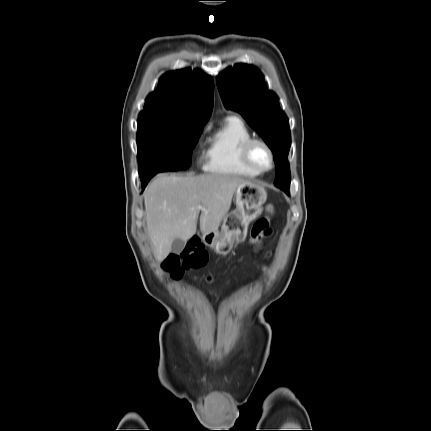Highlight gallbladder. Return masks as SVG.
<instances>
[{"label":"gallbladder","instance_id":"1","mask_svg":"<svg viewBox=\"0 0 431 431\" xmlns=\"http://www.w3.org/2000/svg\"><path fill=\"white\" fill-rule=\"evenodd\" d=\"M185 243L186 242L180 238L174 239V241L172 243V247H171L172 253L180 254L185 247Z\"/></svg>","mask_w":431,"mask_h":431}]
</instances>
